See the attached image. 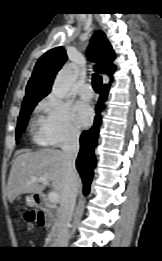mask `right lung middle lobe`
Here are the masks:
<instances>
[{
  "label": "right lung middle lobe",
  "mask_w": 162,
  "mask_h": 261,
  "mask_svg": "<svg viewBox=\"0 0 162 261\" xmlns=\"http://www.w3.org/2000/svg\"><path fill=\"white\" fill-rule=\"evenodd\" d=\"M42 98L43 97H37V98H32L23 101L21 112L17 122V129H16L17 136L20 135L25 130V127L27 125L32 110Z\"/></svg>",
  "instance_id": "1"
}]
</instances>
